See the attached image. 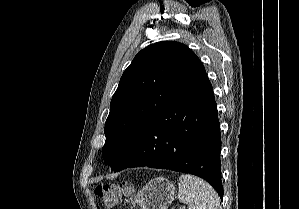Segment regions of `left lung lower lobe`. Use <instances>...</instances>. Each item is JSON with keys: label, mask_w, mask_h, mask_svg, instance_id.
<instances>
[{"label": "left lung lower lobe", "mask_w": 299, "mask_h": 209, "mask_svg": "<svg viewBox=\"0 0 299 209\" xmlns=\"http://www.w3.org/2000/svg\"><path fill=\"white\" fill-rule=\"evenodd\" d=\"M217 104L205 69L151 119L114 172L153 167L197 175L223 198Z\"/></svg>", "instance_id": "0a47b994"}]
</instances>
